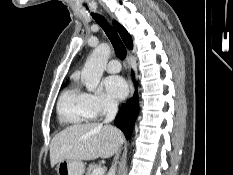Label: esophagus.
<instances>
[{
  "label": "esophagus",
  "mask_w": 233,
  "mask_h": 175,
  "mask_svg": "<svg viewBox=\"0 0 233 175\" xmlns=\"http://www.w3.org/2000/svg\"><path fill=\"white\" fill-rule=\"evenodd\" d=\"M127 65H128V69H130V59L129 58L127 59ZM128 79H129V87H130V96H132L134 93V84L132 82L130 74H129Z\"/></svg>",
  "instance_id": "esophagus-1"
}]
</instances>
